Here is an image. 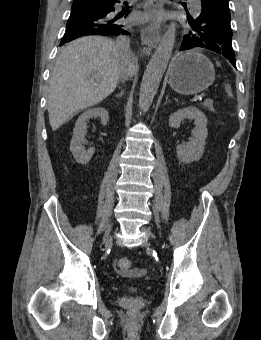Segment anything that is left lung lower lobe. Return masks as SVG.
<instances>
[{
	"label": "left lung lower lobe",
	"mask_w": 261,
	"mask_h": 340,
	"mask_svg": "<svg viewBox=\"0 0 261 340\" xmlns=\"http://www.w3.org/2000/svg\"><path fill=\"white\" fill-rule=\"evenodd\" d=\"M216 17H221L225 20L230 19L228 0H201L200 15L197 19H188V21L190 24L194 21L201 24L212 21ZM194 47H201L198 37L195 35H187L183 39L180 50L182 51ZM223 56H225L234 67L236 66L233 49L226 50Z\"/></svg>",
	"instance_id": "left-lung-lower-lobe-1"
}]
</instances>
